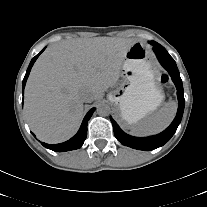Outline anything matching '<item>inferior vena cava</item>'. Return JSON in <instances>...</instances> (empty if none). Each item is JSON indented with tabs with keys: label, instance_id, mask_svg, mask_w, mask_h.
I'll return each instance as SVG.
<instances>
[{
	"label": "inferior vena cava",
	"instance_id": "1",
	"mask_svg": "<svg viewBox=\"0 0 207 207\" xmlns=\"http://www.w3.org/2000/svg\"><path fill=\"white\" fill-rule=\"evenodd\" d=\"M81 99L83 100V102H90L91 101V96L88 92H83L81 94Z\"/></svg>",
	"mask_w": 207,
	"mask_h": 207
}]
</instances>
